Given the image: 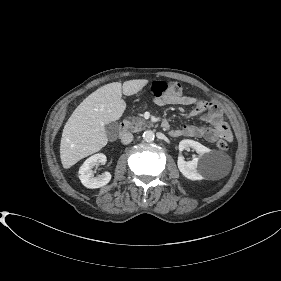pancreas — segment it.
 <instances>
[{
	"label": "pancreas",
	"mask_w": 281,
	"mask_h": 281,
	"mask_svg": "<svg viewBox=\"0 0 281 281\" xmlns=\"http://www.w3.org/2000/svg\"><path fill=\"white\" fill-rule=\"evenodd\" d=\"M126 127L132 132H138L147 126V122L143 118H131L125 121Z\"/></svg>",
	"instance_id": "cf45deb5"
}]
</instances>
